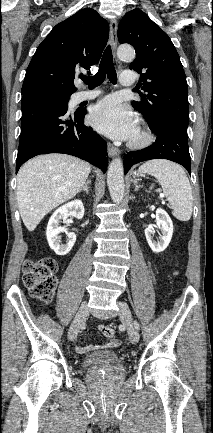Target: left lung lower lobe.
Returning <instances> with one entry per match:
<instances>
[{"label":"left lung lower lobe","instance_id":"obj_1","mask_svg":"<svg viewBox=\"0 0 213 433\" xmlns=\"http://www.w3.org/2000/svg\"><path fill=\"white\" fill-rule=\"evenodd\" d=\"M149 127L157 133L155 143L142 150L128 152L124 156V173L126 174L134 164L142 161L168 159L183 165L191 174L187 140L188 125L175 119H163Z\"/></svg>","mask_w":213,"mask_h":433}]
</instances>
